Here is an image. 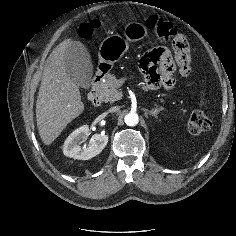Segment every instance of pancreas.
I'll return each instance as SVG.
<instances>
[{
    "label": "pancreas",
    "mask_w": 236,
    "mask_h": 236,
    "mask_svg": "<svg viewBox=\"0 0 236 236\" xmlns=\"http://www.w3.org/2000/svg\"><path fill=\"white\" fill-rule=\"evenodd\" d=\"M122 83L118 80L115 75L108 74L105 81L101 83L99 87V95L105 102H114L120 100L122 97V92L119 91ZM164 103V100H160Z\"/></svg>",
    "instance_id": "cf45deb5"
}]
</instances>
